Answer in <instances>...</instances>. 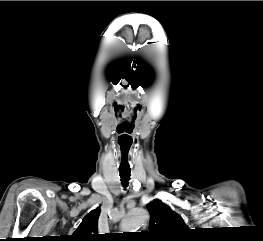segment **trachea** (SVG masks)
I'll return each instance as SVG.
<instances>
[{"mask_svg":"<svg viewBox=\"0 0 263 241\" xmlns=\"http://www.w3.org/2000/svg\"><path fill=\"white\" fill-rule=\"evenodd\" d=\"M120 179L124 186H127L130 176H131V170L126 169H119Z\"/></svg>","mask_w":263,"mask_h":241,"instance_id":"1","label":"trachea"}]
</instances>
